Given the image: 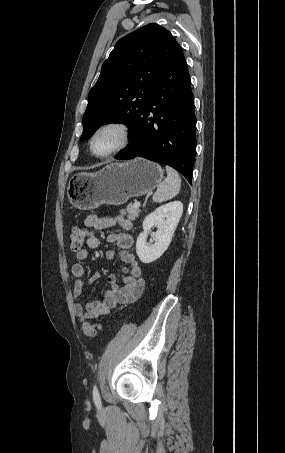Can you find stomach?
<instances>
[{
  "mask_svg": "<svg viewBox=\"0 0 285 453\" xmlns=\"http://www.w3.org/2000/svg\"><path fill=\"white\" fill-rule=\"evenodd\" d=\"M162 178L161 166L143 158L110 163L95 173L74 174L68 184L69 201L80 210L118 206L151 192Z\"/></svg>",
  "mask_w": 285,
  "mask_h": 453,
  "instance_id": "0dacf381",
  "label": "stomach"
}]
</instances>
